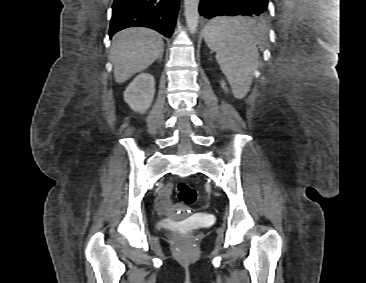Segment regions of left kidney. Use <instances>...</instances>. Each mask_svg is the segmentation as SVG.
<instances>
[{"label": "left kidney", "instance_id": "obj_1", "mask_svg": "<svg viewBox=\"0 0 366 283\" xmlns=\"http://www.w3.org/2000/svg\"><path fill=\"white\" fill-rule=\"evenodd\" d=\"M221 87L225 90L228 91L227 87H226V83L224 81H221Z\"/></svg>", "mask_w": 366, "mask_h": 283}]
</instances>
